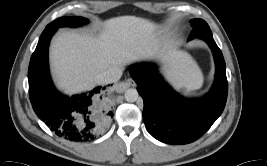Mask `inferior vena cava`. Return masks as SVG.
Masks as SVG:
<instances>
[{
	"label": "inferior vena cava",
	"instance_id": "602c4592",
	"mask_svg": "<svg viewBox=\"0 0 267 166\" xmlns=\"http://www.w3.org/2000/svg\"><path fill=\"white\" fill-rule=\"evenodd\" d=\"M122 76V69L120 68H111L107 71L102 72L98 75V80L101 83L108 84L117 82Z\"/></svg>",
	"mask_w": 267,
	"mask_h": 166
}]
</instances>
